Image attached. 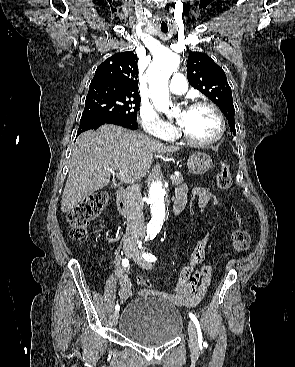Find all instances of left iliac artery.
<instances>
[{
    "instance_id": "1",
    "label": "left iliac artery",
    "mask_w": 295,
    "mask_h": 367,
    "mask_svg": "<svg viewBox=\"0 0 295 367\" xmlns=\"http://www.w3.org/2000/svg\"><path fill=\"white\" fill-rule=\"evenodd\" d=\"M143 258L146 260V261H149V262H155V261H157V258L154 256V255H152V254H150V253H143ZM189 317L191 318V320L194 322V324H195V326H196V328H197V333H198V343H199V345L200 346H207V344L203 341V337H202V332H201V328H200V324H199V322H198V320H197V318H196V316L193 314V313H191V312H189Z\"/></svg>"
}]
</instances>
